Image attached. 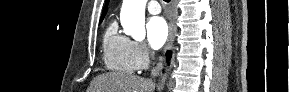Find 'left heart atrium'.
Segmentation results:
<instances>
[{"label": "left heart atrium", "mask_w": 289, "mask_h": 92, "mask_svg": "<svg viewBox=\"0 0 289 92\" xmlns=\"http://www.w3.org/2000/svg\"><path fill=\"white\" fill-rule=\"evenodd\" d=\"M169 36V27L162 17H153L147 23V38L153 49H160Z\"/></svg>", "instance_id": "left-heart-atrium-1"}]
</instances>
